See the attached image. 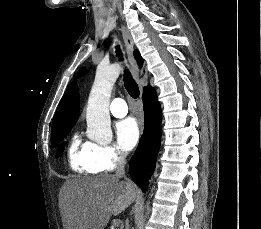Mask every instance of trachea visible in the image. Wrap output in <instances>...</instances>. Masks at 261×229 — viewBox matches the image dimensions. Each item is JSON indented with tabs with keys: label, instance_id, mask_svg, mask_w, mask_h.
Wrapping results in <instances>:
<instances>
[{
	"label": "trachea",
	"instance_id": "trachea-1",
	"mask_svg": "<svg viewBox=\"0 0 261 229\" xmlns=\"http://www.w3.org/2000/svg\"><path fill=\"white\" fill-rule=\"evenodd\" d=\"M115 53H116L119 61L124 62L123 54H122L119 44H117L115 46ZM123 82H124V86H125L128 94L131 97H133L134 99H137L139 97V87H138L137 83L135 82V80L132 78V75H131L129 69H127V67H124Z\"/></svg>",
	"mask_w": 261,
	"mask_h": 229
}]
</instances>
